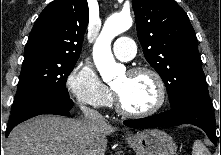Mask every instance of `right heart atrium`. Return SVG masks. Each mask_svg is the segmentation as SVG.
<instances>
[{"label": "right heart atrium", "instance_id": "d8ad5b80", "mask_svg": "<svg viewBox=\"0 0 221 155\" xmlns=\"http://www.w3.org/2000/svg\"><path fill=\"white\" fill-rule=\"evenodd\" d=\"M67 88L79 104L92 108H103L112 99L110 89L86 62L79 63L71 71L67 78Z\"/></svg>", "mask_w": 221, "mask_h": 155}]
</instances>
